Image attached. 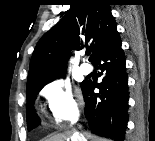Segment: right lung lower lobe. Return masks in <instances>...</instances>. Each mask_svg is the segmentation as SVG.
Masks as SVG:
<instances>
[{"instance_id": "obj_1", "label": "right lung lower lobe", "mask_w": 155, "mask_h": 141, "mask_svg": "<svg viewBox=\"0 0 155 141\" xmlns=\"http://www.w3.org/2000/svg\"><path fill=\"white\" fill-rule=\"evenodd\" d=\"M121 45L119 33L115 32L92 61L101 70L102 82L89 80L81 86L91 131L116 141L123 140L128 121V76ZM95 88L100 92L94 93Z\"/></svg>"}]
</instances>
